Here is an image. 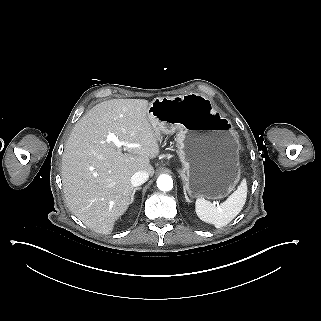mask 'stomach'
Here are the masks:
<instances>
[{
    "label": "stomach",
    "mask_w": 321,
    "mask_h": 321,
    "mask_svg": "<svg viewBox=\"0 0 321 321\" xmlns=\"http://www.w3.org/2000/svg\"><path fill=\"white\" fill-rule=\"evenodd\" d=\"M197 93L156 97L147 117L157 139L176 133L179 171L184 189L191 197H226L239 181L240 143L230 119L209 106Z\"/></svg>",
    "instance_id": "0dacf381"
}]
</instances>
